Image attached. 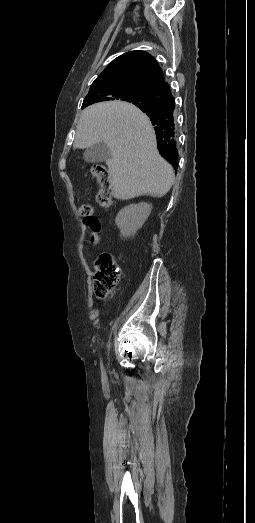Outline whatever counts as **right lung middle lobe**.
Segmentation results:
<instances>
[{
	"mask_svg": "<svg viewBox=\"0 0 255 523\" xmlns=\"http://www.w3.org/2000/svg\"><path fill=\"white\" fill-rule=\"evenodd\" d=\"M114 99H121L128 102H142L144 106H149L151 104V99L148 97L147 93L138 89L123 90L113 94L110 98H106V100Z\"/></svg>",
	"mask_w": 255,
	"mask_h": 523,
	"instance_id": "obj_1",
	"label": "right lung middle lobe"
}]
</instances>
